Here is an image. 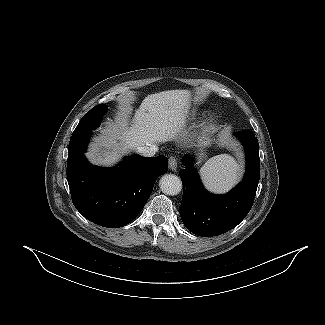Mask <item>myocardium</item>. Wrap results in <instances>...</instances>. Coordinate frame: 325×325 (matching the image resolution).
<instances>
[{
    "mask_svg": "<svg viewBox=\"0 0 325 325\" xmlns=\"http://www.w3.org/2000/svg\"><path fill=\"white\" fill-rule=\"evenodd\" d=\"M213 120H214V118L212 116L207 118V120L205 122V129H208L211 126Z\"/></svg>",
    "mask_w": 325,
    "mask_h": 325,
    "instance_id": "1",
    "label": "myocardium"
}]
</instances>
